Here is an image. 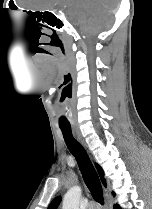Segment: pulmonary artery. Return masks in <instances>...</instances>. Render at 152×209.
Here are the masks:
<instances>
[{
  "instance_id": "e3ab8cb5",
  "label": "pulmonary artery",
  "mask_w": 152,
  "mask_h": 209,
  "mask_svg": "<svg viewBox=\"0 0 152 209\" xmlns=\"http://www.w3.org/2000/svg\"><path fill=\"white\" fill-rule=\"evenodd\" d=\"M86 209H99V207L94 202H90L87 204Z\"/></svg>"
}]
</instances>
